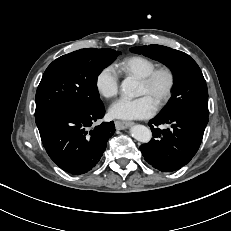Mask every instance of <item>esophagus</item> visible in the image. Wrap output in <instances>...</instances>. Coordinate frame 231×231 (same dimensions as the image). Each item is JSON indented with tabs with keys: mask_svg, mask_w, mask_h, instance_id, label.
<instances>
[{
	"mask_svg": "<svg viewBox=\"0 0 231 231\" xmlns=\"http://www.w3.org/2000/svg\"><path fill=\"white\" fill-rule=\"evenodd\" d=\"M133 124H134L133 122H128V121H115V127L118 130L126 129L132 126Z\"/></svg>",
	"mask_w": 231,
	"mask_h": 231,
	"instance_id": "obj_1",
	"label": "esophagus"
}]
</instances>
